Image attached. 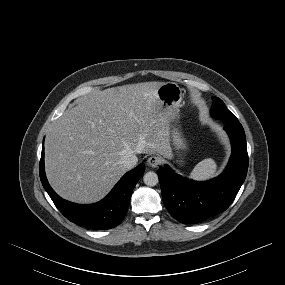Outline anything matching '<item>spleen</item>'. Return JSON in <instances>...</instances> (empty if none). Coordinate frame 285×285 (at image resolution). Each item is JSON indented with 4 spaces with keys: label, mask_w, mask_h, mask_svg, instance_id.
Wrapping results in <instances>:
<instances>
[{
    "label": "spleen",
    "mask_w": 285,
    "mask_h": 285,
    "mask_svg": "<svg viewBox=\"0 0 285 285\" xmlns=\"http://www.w3.org/2000/svg\"><path fill=\"white\" fill-rule=\"evenodd\" d=\"M217 165L211 158H207L199 162L190 173L189 177L194 180H208L215 176Z\"/></svg>",
    "instance_id": "3e777b00"
}]
</instances>
